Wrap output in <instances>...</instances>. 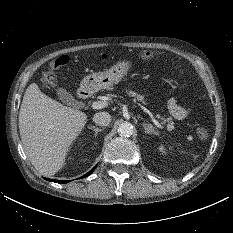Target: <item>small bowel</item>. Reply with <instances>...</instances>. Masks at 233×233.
<instances>
[{"label":"small bowel","instance_id":"obj_1","mask_svg":"<svg viewBox=\"0 0 233 233\" xmlns=\"http://www.w3.org/2000/svg\"><path fill=\"white\" fill-rule=\"evenodd\" d=\"M167 106L172 117L177 120L185 119L190 113V109L178 104L175 98H170Z\"/></svg>","mask_w":233,"mask_h":233}]
</instances>
